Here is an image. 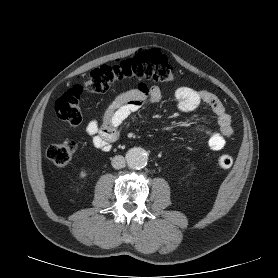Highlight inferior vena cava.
<instances>
[{
    "mask_svg": "<svg viewBox=\"0 0 278 278\" xmlns=\"http://www.w3.org/2000/svg\"><path fill=\"white\" fill-rule=\"evenodd\" d=\"M111 164H112L113 168L121 169V168L125 167L126 161L123 156L117 155V156L113 157Z\"/></svg>",
    "mask_w": 278,
    "mask_h": 278,
    "instance_id": "obj_1",
    "label": "inferior vena cava"
}]
</instances>
